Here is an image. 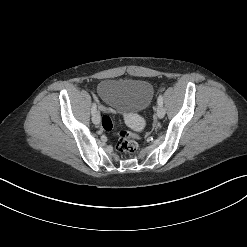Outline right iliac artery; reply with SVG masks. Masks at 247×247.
Listing matches in <instances>:
<instances>
[{"instance_id":"82829eb1","label":"right iliac artery","mask_w":247,"mask_h":247,"mask_svg":"<svg viewBox=\"0 0 247 247\" xmlns=\"http://www.w3.org/2000/svg\"><path fill=\"white\" fill-rule=\"evenodd\" d=\"M96 110H97V105H96V103L94 102L93 105H92V109H91L92 115L96 112Z\"/></svg>"}]
</instances>
